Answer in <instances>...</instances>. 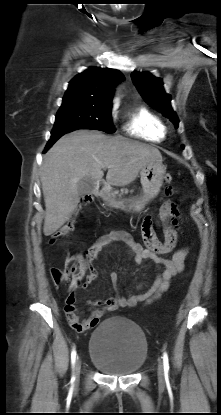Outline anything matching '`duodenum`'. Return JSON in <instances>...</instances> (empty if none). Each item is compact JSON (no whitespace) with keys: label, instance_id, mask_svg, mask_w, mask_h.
<instances>
[{"label":"duodenum","instance_id":"duodenum-1","mask_svg":"<svg viewBox=\"0 0 221 415\" xmlns=\"http://www.w3.org/2000/svg\"><path fill=\"white\" fill-rule=\"evenodd\" d=\"M105 183L103 181H99L95 184L92 193L90 196L86 197L87 202H91L94 197H99L103 195L105 192Z\"/></svg>","mask_w":221,"mask_h":415}]
</instances>
